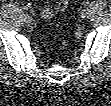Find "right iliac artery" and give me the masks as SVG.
<instances>
[{
	"label": "right iliac artery",
	"instance_id": "82829eb1",
	"mask_svg": "<svg viewBox=\"0 0 111 106\" xmlns=\"http://www.w3.org/2000/svg\"><path fill=\"white\" fill-rule=\"evenodd\" d=\"M24 17H25V19L31 18V17H30V13H29V12H26V13L24 14Z\"/></svg>",
	"mask_w": 111,
	"mask_h": 106
}]
</instances>
